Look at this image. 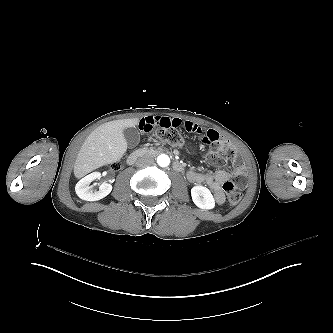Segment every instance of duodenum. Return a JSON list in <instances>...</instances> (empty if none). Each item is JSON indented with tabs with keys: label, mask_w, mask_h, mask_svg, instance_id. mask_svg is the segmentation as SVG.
I'll use <instances>...</instances> for the list:
<instances>
[{
	"label": "duodenum",
	"mask_w": 333,
	"mask_h": 333,
	"mask_svg": "<svg viewBox=\"0 0 333 333\" xmlns=\"http://www.w3.org/2000/svg\"><path fill=\"white\" fill-rule=\"evenodd\" d=\"M150 152H151V150H149V149H137L129 154V156L127 158V163L129 165H133L140 157H142ZM173 167L176 171L183 170V165L177 160L174 161Z\"/></svg>",
	"instance_id": "410a0bca"
}]
</instances>
